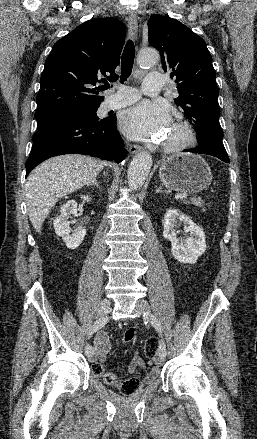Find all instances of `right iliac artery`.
Instances as JSON below:
<instances>
[{"label":"right iliac artery","mask_w":257,"mask_h":439,"mask_svg":"<svg viewBox=\"0 0 257 439\" xmlns=\"http://www.w3.org/2000/svg\"><path fill=\"white\" fill-rule=\"evenodd\" d=\"M107 322H108V317H102V318H99L98 320H96V321L90 326V328H89V331H88V338L92 337V335H93L96 331H98L99 329H101V328H102ZM85 354H86L87 356L93 354L92 347H91L89 344H87L86 347H85Z\"/></svg>","instance_id":"obj_1"}]
</instances>
